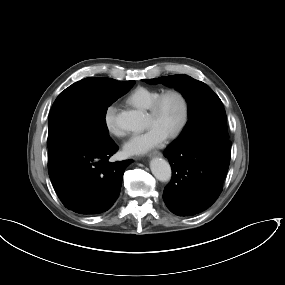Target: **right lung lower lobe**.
I'll return each mask as SVG.
<instances>
[{
	"mask_svg": "<svg viewBox=\"0 0 285 285\" xmlns=\"http://www.w3.org/2000/svg\"><path fill=\"white\" fill-rule=\"evenodd\" d=\"M114 141L75 140L49 155L48 172L63 205L94 215L110 209L120 193L125 168L132 160L109 162Z\"/></svg>",
	"mask_w": 285,
	"mask_h": 285,
	"instance_id": "right-lung-lower-lobe-1",
	"label": "right lung lower lobe"
}]
</instances>
